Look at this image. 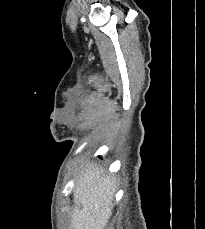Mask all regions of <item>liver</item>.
<instances>
[{"mask_svg":"<svg viewBox=\"0 0 205 229\" xmlns=\"http://www.w3.org/2000/svg\"><path fill=\"white\" fill-rule=\"evenodd\" d=\"M115 180L93 164L80 172L74 188L72 229H104L112 215Z\"/></svg>","mask_w":205,"mask_h":229,"instance_id":"1","label":"liver"}]
</instances>
